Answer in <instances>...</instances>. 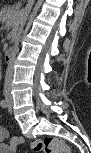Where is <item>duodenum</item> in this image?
Masks as SVG:
<instances>
[{
  "instance_id": "410a0bca",
  "label": "duodenum",
  "mask_w": 91,
  "mask_h": 153,
  "mask_svg": "<svg viewBox=\"0 0 91 153\" xmlns=\"http://www.w3.org/2000/svg\"><path fill=\"white\" fill-rule=\"evenodd\" d=\"M14 55H15V49L12 47L7 48L3 54V61L5 62V64L7 65L11 64L13 61Z\"/></svg>"
}]
</instances>
